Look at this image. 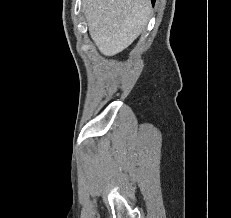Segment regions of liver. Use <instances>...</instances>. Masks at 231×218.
<instances>
[{
	"instance_id": "6515ba94",
	"label": "liver",
	"mask_w": 231,
	"mask_h": 218,
	"mask_svg": "<svg viewBox=\"0 0 231 218\" xmlns=\"http://www.w3.org/2000/svg\"><path fill=\"white\" fill-rule=\"evenodd\" d=\"M89 33L105 56H114L142 33L151 13L150 0H82Z\"/></svg>"
}]
</instances>
